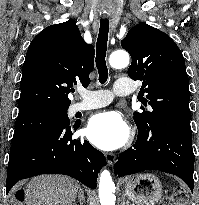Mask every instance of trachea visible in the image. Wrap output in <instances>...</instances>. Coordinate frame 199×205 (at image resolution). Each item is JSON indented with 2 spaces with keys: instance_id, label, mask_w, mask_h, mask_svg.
Segmentation results:
<instances>
[{
  "instance_id": "trachea-1",
  "label": "trachea",
  "mask_w": 199,
  "mask_h": 205,
  "mask_svg": "<svg viewBox=\"0 0 199 205\" xmlns=\"http://www.w3.org/2000/svg\"><path fill=\"white\" fill-rule=\"evenodd\" d=\"M109 21L108 19L100 20V29L96 44V67L99 73V82L104 84L108 78V68L106 65V51L108 42Z\"/></svg>"
}]
</instances>
